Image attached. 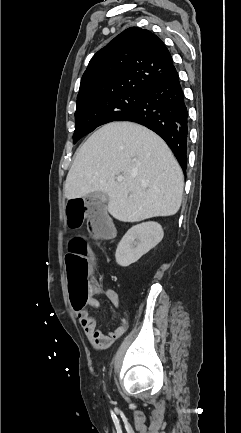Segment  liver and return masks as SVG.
I'll return each instance as SVG.
<instances>
[{
    "instance_id": "obj_1",
    "label": "liver",
    "mask_w": 241,
    "mask_h": 433,
    "mask_svg": "<svg viewBox=\"0 0 241 433\" xmlns=\"http://www.w3.org/2000/svg\"><path fill=\"white\" fill-rule=\"evenodd\" d=\"M183 188L182 170L167 144L132 122L94 132L77 150L64 184L67 199L106 193L108 212L122 222L176 214Z\"/></svg>"
}]
</instances>
